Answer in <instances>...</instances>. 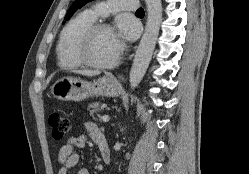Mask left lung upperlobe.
Instances as JSON below:
<instances>
[{
    "instance_id": "5c2ea615",
    "label": "left lung upper lobe",
    "mask_w": 249,
    "mask_h": 174,
    "mask_svg": "<svg viewBox=\"0 0 249 174\" xmlns=\"http://www.w3.org/2000/svg\"><path fill=\"white\" fill-rule=\"evenodd\" d=\"M90 1L92 0H75L73 4L71 5V7L69 8L65 16V20H68L78 8H81L82 6H84L86 3Z\"/></svg>"
}]
</instances>
